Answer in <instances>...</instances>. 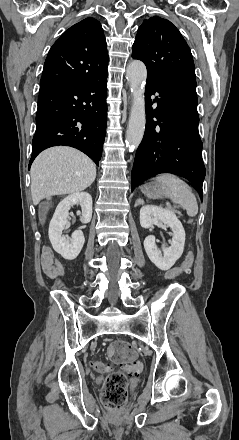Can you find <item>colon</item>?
<instances>
[{
    "label": "colon",
    "instance_id": "1",
    "mask_svg": "<svg viewBox=\"0 0 239 440\" xmlns=\"http://www.w3.org/2000/svg\"><path fill=\"white\" fill-rule=\"evenodd\" d=\"M193 261L194 252L189 250L181 266L169 270L166 278L174 279L187 272ZM109 356L112 362L120 365L121 368L109 372L110 367L102 363L97 364L96 368L102 372H109L102 387V398L106 408L111 411H119L127 399L126 374L128 372H140L142 364L136 361L135 350L124 340H117L111 344Z\"/></svg>",
    "mask_w": 239,
    "mask_h": 440
}]
</instances>
